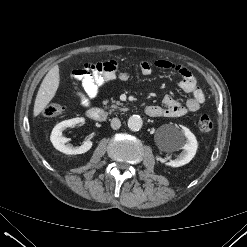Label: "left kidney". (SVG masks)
Here are the masks:
<instances>
[{
    "instance_id": "obj_1",
    "label": "left kidney",
    "mask_w": 247,
    "mask_h": 247,
    "mask_svg": "<svg viewBox=\"0 0 247 247\" xmlns=\"http://www.w3.org/2000/svg\"><path fill=\"white\" fill-rule=\"evenodd\" d=\"M186 139V140H185ZM171 149H182L180 155L167 163L171 167H180L189 163L196 154L198 147L195 135L186 127L174 128V132L168 137Z\"/></svg>"
}]
</instances>
